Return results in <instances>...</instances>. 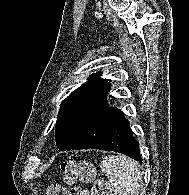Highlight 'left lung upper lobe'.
I'll return each instance as SVG.
<instances>
[{
	"instance_id": "obj_1",
	"label": "left lung upper lobe",
	"mask_w": 189,
	"mask_h": 195,
	"mask_svg": "<svg viewBox=\"0 0 189 195\" xmlns=\"http://www.w3.org/2000/svg\"><path fill=\"white\" fill-rule=\"evenodd\" d=\"M101 72L92 74L87 83L73 91L61 104L56 121V144L64 143L83 123L90 119L106 103L110 83Z\"/></svg>"
}]
</instances>
